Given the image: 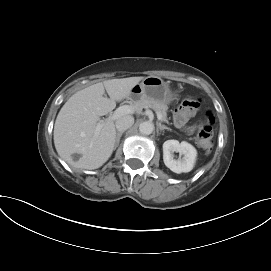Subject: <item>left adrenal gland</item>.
<instances>
[{
  "label": "left adrenal gland",
  "mask_w": 271,
  "mask_h": 271,
  "mask_svg": "<svg viewBox=\"0 0 271 271\" xmlns=\"http://www.w3.org/2000/svg\"><path fill=\"white\" fill-rule=\"evenodd\" d=\"M157 127L159 128L160 131H163L164 129H167V130L171 131L170 128H168V127H166L164 125H161L160 123L157 124Z\"/></svg>",
  "instance_id": "obj_1"
}]
</instances>
